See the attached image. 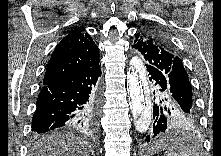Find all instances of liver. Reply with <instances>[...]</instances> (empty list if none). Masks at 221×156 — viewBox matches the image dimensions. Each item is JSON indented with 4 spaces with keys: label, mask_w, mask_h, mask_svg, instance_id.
Listing matches in <instances>:
<instances>
[{
    "label": "liver",
    "mask_w": 221,
    "mask_h": 156,
    "mask_svg": "<svg viewBox=\"0 0 221 156\" xmlns=\"http://www.w3.org/2000/svg\"><path fill=\"white\" fill-rule=\"evenodd\" d=\"M30 156H89L90 146L71 133H55L34 142Z\"/></svg>",
    "instance_id": "1"
}]
</instances>
